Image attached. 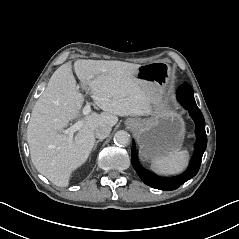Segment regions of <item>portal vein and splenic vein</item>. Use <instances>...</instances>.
I'll return each mask as SVG.
<instances>
[{
	"label": "portal vein and splenic vein",
	"mask_w": 239,
	"mask_h": 239,
	"mask_svg": "<svg viewBox=\"0 0 239 239\" xmlns=\"http://www.w3.org/2000/svg\"><path fill=\"white\" fill-rule=\"evenodd\" d=\"M91 97H92L93 99H96V100L99 99L98 97L93 96V95H91ZM82 112H83L84 115H88V114L91 112V106H90L89 103H87V104L85 105V107L83 108V111H82ZM82 126H83V121L80 120V121L76 122L74 125H72L71 127L67 128V129H65V130H63V133H64V134H68L69 137H70V139H73L74 133H75L76 131L80 130Z\"/></svg>",
	"instance_id": "1"
}]
</instances>
